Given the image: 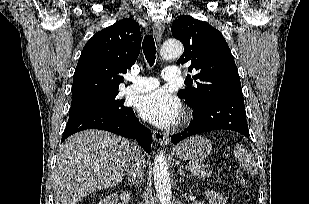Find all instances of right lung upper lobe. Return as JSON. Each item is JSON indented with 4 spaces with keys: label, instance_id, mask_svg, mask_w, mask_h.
I'll list each match as a JSON object with an SVG mask.
<instances>
[{
    "label": "right lung upper lobe",
    "instance_id": "right-lung-upper-lobe-1",
    "mask_svg": "<svg viewBox=\"0 0 309 204\" xmlns=\"http://www.w3.org/2000/svg\"><path fill=\"white\" fill-rule=\"evenodd\" d=\"M140 46L139 24L129 18L97 32L84 46L76 66L71 104L119 92L121 74L135 63Z\"/></svg>",
    "mask_w": 309,
    "mask_h": 204
}]
</instances>
